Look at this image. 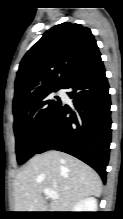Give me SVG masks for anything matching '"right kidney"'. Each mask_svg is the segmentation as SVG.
Instances as JSON below:
<instances>
[{
	"instance_id": "obj_1",
	"label": "right kidney",
	"mask_w": 123,
	"mask_h": 219,
	"mask_svg": "<svg viewBox=\"0 0 123 219\" xmlns=\"http://www.w3.org/2000/svg\"><path fill=\"white\" fill-rule=\"evenodd\" d=\"M72 212H97V200L94 197L85 198L73 207Z\"/></svg>"
}]
</instances>
